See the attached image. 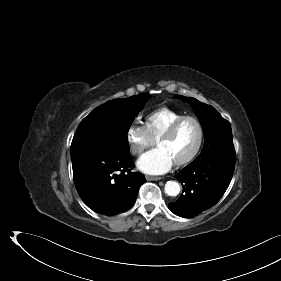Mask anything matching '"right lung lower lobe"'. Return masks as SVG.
<instances>
[{"mask_svg": "<svg viewBox=\"0 0 281 281\" xmlns=\"http://www.w3.org/2000/svg\"><path fill=\"white\" fill-rule=\"evenodd\" d=\"M73 178L83 202L93 211L112 216L132 207L144 175L131 172L130 153L95 154L72 160Z\"/></svg>", "mask_w": 281, "mask_h": 281, "instance_id": "right-lung-lower-lobe-1", "label": "right lung lower lobe"}]
</instances>
